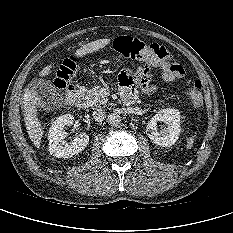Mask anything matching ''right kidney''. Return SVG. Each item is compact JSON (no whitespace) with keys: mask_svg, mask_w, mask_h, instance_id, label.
Here are the masks:
<instances>
[{"mask_svg":"<svg viewBox=\"0 0 233 233\" xmlns=\"http://www.w3.org/2000/svg\"><path fill=\"white\" fill-rule=\"evenodd\" d=\"M74 123V116L65 114L59 116L51 125L48 140L49 152L57 158H70L82 152L89 143V136L81 133L72 142L67 143L64 139L67 136L64 128Z\"/></svg>","mask_w":233,"mask_h":233,"instance_id":"obj_1","label":"right kidney"}]
</instances>
